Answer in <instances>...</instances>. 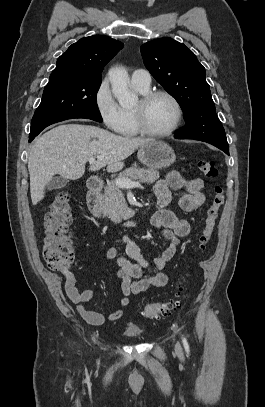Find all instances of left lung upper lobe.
<instances>
[{"label": "left lung upper lobe", "instance_id": "left-lung-upper-lobe-1", "mask_svg": "<svg viewBox=\"0 0 265 407\" xmlns=\"http://www.w3.org/2000/svg\"><path fill=\"white\" fill-rule=\"evenodd\" d=\"M144 64L152 76L181 106L186 125L177 139H195L229 149L216 115L205 68L184 44L160 38L141 46Z\"/></svg>", "mask_w": 265, "mask_h": 407}]
</instances>
